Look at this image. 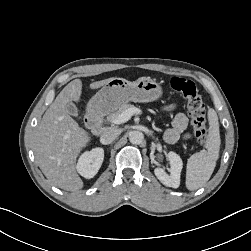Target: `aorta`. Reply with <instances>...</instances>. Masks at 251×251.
<instances>
[{"label": "aorta", "instance_id": "762f6f07", "mask_svg": "<svg viewBox=\"0 0 251 251\" xmlns=\"http://www.w3.org/2000/svg\"><path fill=\"white\" fill-rule=\"evenodd\" d=\"M144 140V134L140 131H132L129 134V141L134 145H139Z\"/></svg>", "mask_w": 251, "mask_h": 251}]
</instances>
